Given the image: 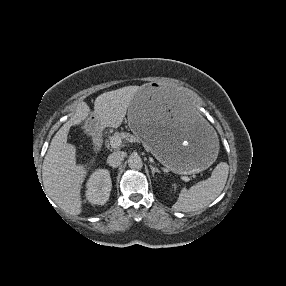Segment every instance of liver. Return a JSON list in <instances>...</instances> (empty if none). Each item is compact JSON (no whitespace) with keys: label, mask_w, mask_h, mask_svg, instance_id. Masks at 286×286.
<instances>
[{"label":"liver","mask_w":286,"mask_h":286,"mask_svg":"<svg viewBox=\"0 0 286 286\" xmlns=\"http://www.w3.org/2000/svg\"><path fill=\"white\" fill-rule=\"evenodd\" d=\"M139 86H127L99 95L95 100V129L118 128L127 113ZM91 111L88 106L79 108L54 135L42 166V179L47 195L65 212L79 215L82 212L81 188L89 166L76 163V147L67 142L72 126L82 123ZM91 159L89 164H93Z\"/></svg>","instance_id":"1"}]
</instances>
